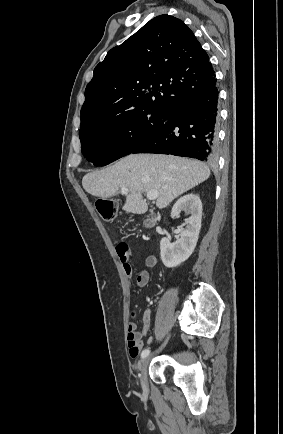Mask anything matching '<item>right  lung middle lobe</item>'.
Masks as SVG:
<instances>
[{"label":"right lung middle lobe","instance_id":"right-lung-middle-lobe-1","mask_svg":"<svg viewBox=\"0 0 283 434\" xmlns=\"http://www.w3.org/2000/svg\"><path fill=\"white\" fill-rule=\"evenodd\" d=\"M167 111H128L80 130L81 150L95 166H105L134 151L166 121Z\"/></svg>","mask_w":283,"mask_h":434}]
</instances>
